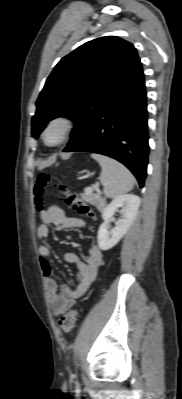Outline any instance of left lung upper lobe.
Returning a JSON list of instances; mask_svg holds the SVG:
<instances>
[{"instance_id": "left-lung-upper-lobe-1", "label": "left lung upper lobe", "mask_w": 182, "mask_h": 399, "mask_svg": "<svg viewBox=\"0 0 182 399\" xmlns=\"http://www.w3.org/2000/svg\"><path fill=\"white\" fill-rule=\"evenodd\" d=\"M141 70L134 46L119 37L106 36L81 45L62 58L48 77L36 102L32 136L37 137L48 121L63 116L75 123L70 144Z\"/></svg>"}]
</instances>
